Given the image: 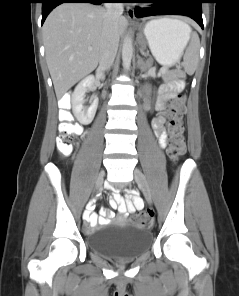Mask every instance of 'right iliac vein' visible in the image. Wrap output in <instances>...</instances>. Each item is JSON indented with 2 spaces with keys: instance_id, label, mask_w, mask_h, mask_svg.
Segmentation results:
<instances>
[{
  "instance_id": "obj_1",
  "label": "right iliac vein",
  "mask_w": 239,
  "mask_h": 296,
  "mask_svg": "<svg viewBox=\"0 0 239 296\" xmlns=\"http://www.w3.org/2000/svg\"><path fill=\"white\" fill-rule=\"evenodd\" d=\"M103 182H104V174L100 173L97 180H96L95 191H97L98 189H100L102 187Z\"/></svg>"
}]
</instances>
